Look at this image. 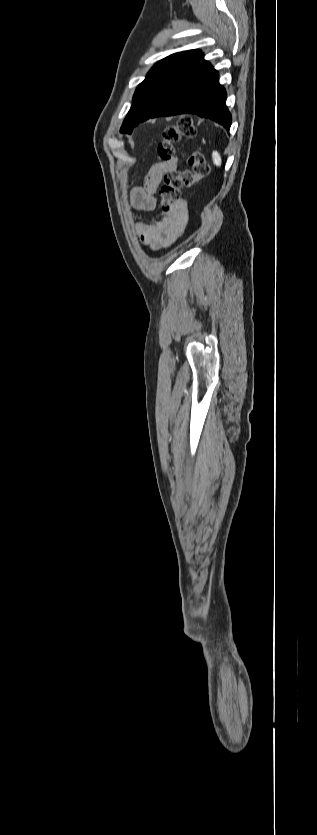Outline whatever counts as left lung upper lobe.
Returning <instances> with one entry per match:
<instances>
[{"instance_id":"left-lung-upper-lobe-1","label":"left lung upper lobe","mask_w":317,"mask_h":835,"mask_svg":"<svg viewBox=\"0 0 317 835\" xmlns=\"http://www.w3.org/2000/svg\"><path fill=\"white\" fill-rule=\"evenodd\" d=\"M200 54V50H188L174 53L157 62L146 79L138 85L133 104L120 132L131 134L134 127L149 119L167 99L184 71Z\"/></svg>"}]
</instances>
